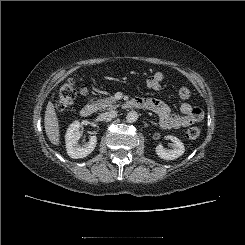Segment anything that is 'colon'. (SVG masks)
<instances>
[{
	"label": "colon",
	"instance_id": "5ec220e1",
	"mask_svg": "<svg viewBox=\"0 0 245 245\" xmlns=\"http://www.w3.org/2000/svg\"><path fill=\"white\" fill-rule=\"evenodd\" d=\"M178 94L180 98L187 99L190 96V90L186 87H181ZM76 95V83L72 80L66 82L59 90L58 99L56 101V109L58 111H65L69 109L72 106ZM186 135L191 140L197 139L200 135V129L197 127H191L187 130Z\"/></svg>",
	"mask_w": 245,
	"mask_h": 245
}]
</instances>
